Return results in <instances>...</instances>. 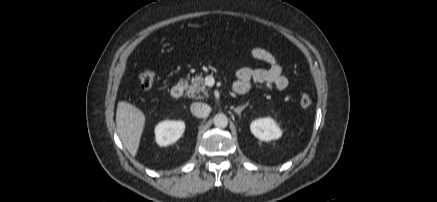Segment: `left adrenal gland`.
<instances>
[{
    "label": "left adrenal gland",
    "mask_w": 437,
    "mask_h": 202,
    "mask_svg": "<svg viewBox=\"0 0 437 202\" xmlns=\"http://www.w3.org/2000/svg\"><path fill=\"white\" fill-rule=\"evenodd\" d=\"M248 106V104H245L243 106H238L236 108H233L234 112L237 113V115L240 117L241 112Z\"/></svg>",
    "instance_id": "obj_1"
}]
</instances>
